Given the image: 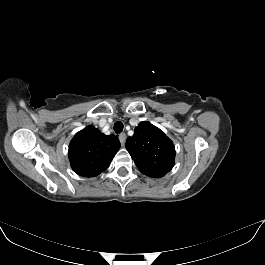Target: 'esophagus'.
I'll return each instance as SVG.
<instances>
[{
  "instance_id": "1",
  "label": "esophagus",
  "mask_w": 265,
  "mask_h": 265,
  "mask_svg": "<svg viewBox=\"0 0 265 265\" xmlns=\"http://www.w3.org/2000/svg\"><path fill=\"white\" fill-rule=\"evenodd\" d=\"M119 140L122 146H124L125 141H126V134L125 133H121L119 134Z\"/></svg>"
}]
</instances>
